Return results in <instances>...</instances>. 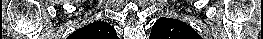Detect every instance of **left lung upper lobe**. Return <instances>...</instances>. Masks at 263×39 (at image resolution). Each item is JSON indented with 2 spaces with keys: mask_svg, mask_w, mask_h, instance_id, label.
<instances>
[{
  "mask_svg": "<svg viewBox=\"0 0 263 39\" xmlns=\"http://www.w3.org/2000/svg\"><path fill=\"white\" fill-rule=\"evenodd\" d=\"M149 39H202V37L184 22L162 17L153 25Z\"/></svg>",
  "mask_w": 263,
  "mask_h": 39,
  "instance_id": "obj_1",
  "label": "left lung upper lobe"
}]
</instances>
